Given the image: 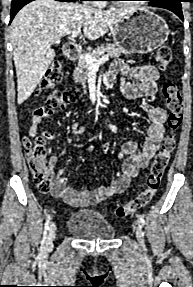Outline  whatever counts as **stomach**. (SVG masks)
Here are the masks:
<instances>
[{"mask_svg": "<svg viewBox=\"0 0 193 287\" xmlns=\"http://www.w3.org/2000/svg\"><path fill=\"white\" fill-rule=\"evenodd\" d=\"M113 43L124 54H146L160 47L168 38L167 23L157 14L138 10L125 17L111 30Z\"/></svg>", "mask_w": 193, "mask_h": 287, "instance_id": "0dacf381", "label": "stomach"}]
</instances>
